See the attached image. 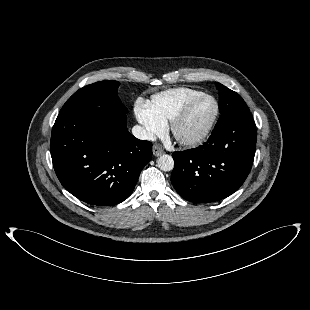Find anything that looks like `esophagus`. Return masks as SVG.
I'll return each instance as SVG.
<instances>
[{
  "label": "esophagus",
  "mask_w": 310,
  "mask_h": 310,
  "mask_svg": "<svg viewBox=\"0 0 310 310\" xmlns=\"http://www.w3.org/2000/svg\"><path fill=\"white\" fill-rule=\"evenodd\" d=\"M163 153H164V151L160 146H158V145L153 146V155L154 156L158 157V156L162 155Z\"/></svg>",
  "instance_id": "esophagus-1"
}]
</instances>
